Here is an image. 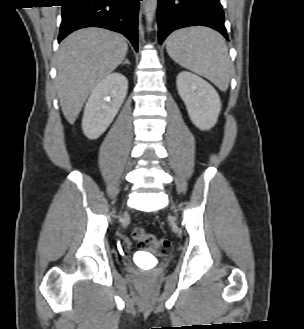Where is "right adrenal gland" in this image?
Returning a JSON list of instances; mask_svg holds the SVG:
<instances>
[{"instance_id":"2a0ac1e0","label":"right adrenal gland","mask_w":304,"mask_h":329,"mask_svg":"<svg viewBox=\"0 0 304 329\" xmlns=\"http://www.w3.org/2000/svg\"><path fill=\"white\" fill-rule=\"evenodd\" d=\"M124 64H130V62L128 61V59H125V61L122 63V65H124Z\"/></svg>"}]
</instances>
